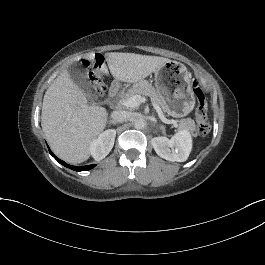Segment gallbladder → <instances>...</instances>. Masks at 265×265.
Returning a JSON list of instances; mask_svg holds the SVG:
<instances>
[{
	"label": "gallbladder",
	"instance_id": "bac80fb5",
	"mask_svg": "<svg viewBox=\"0 0 265 265\" xmlns=\"http://www.w3.org/2000/svg\"><path fill=\"white\" fill-rule=\"evenodd\" d=\"M70 78L93 101L95 98L90 95L91 82L88 80L87 70L79 63L73 62L68 69Z\"/></svg>",
	"mask_w": 265,
	"mask_h": 265
}]
</instances>
